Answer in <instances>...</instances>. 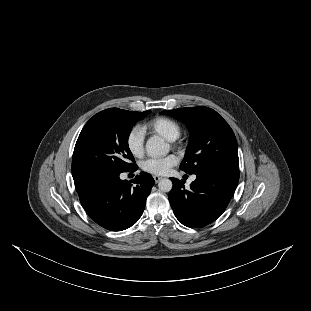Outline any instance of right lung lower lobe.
Listing matches in <instances>:
<instances>
[{"label": "right lung lower lobe", "mask_w": 311, "mask_h": 311, "mask_svg": "<svg viewBox=\"0 0 311 311\" xmlns=\"http://www.w3.org/2000/svg\"><path fill=\"white\" fill-rule=\"evenodd\" d=\"M119 175L91 171L73 177L81 204L88 215L111 231L125 230L139 220L155 183L152 176L145 172L136 176L133 180L135 185L121 180Z\"/></svg>", "instance_id": "obj_1"}]
</instances>
